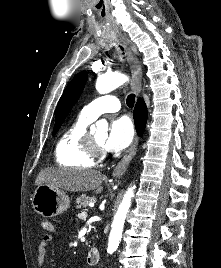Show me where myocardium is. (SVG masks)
I'll return each instance as SVG.
<instances>
[{"mask_svg": "<svg viewBox=\"0 0 221 268\" xmlns=\"http://www.w3.org/2000/svg\"><path fill=\"white\" fill-rule=\"evenodd\" d=\"M86 145L87 149L89 151V154L91 157H93L95 160L96 159H102L105 156V151L102 146L97 144L95 140L93 139L92 135L87 132L86 135Z\"/></svg>", "mask_w": 221, "mask_h": 268, "instance_id": "myocardium-1", "label": "myocardium"}]
</instances>
